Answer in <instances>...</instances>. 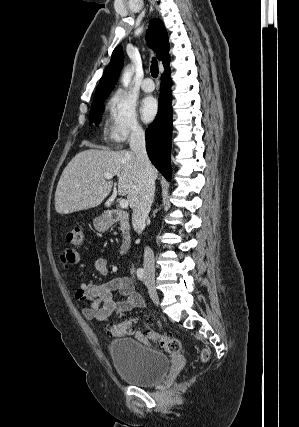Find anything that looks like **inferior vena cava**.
<instances>
[{"label": "inferior vena cava", "instance_id": "1", "mask_svg": "<svg viewBox=\"0 0 299 427\" xmlns=\"http://www.w3.org/2000/svg\"><path fill=\"white\" fill-rule=\"evenodd\" d=\"M129 144L130 149L136 155L139 175V192L133 207L132 225L134 230L138 234H141L145 228V221L153 202L155 178L153 168L146 151L145 134L141 127H133ZM143 266L146 275H154V253L150 247H146L144 250Z\"/></svg>", "mask_w": 299, "mask_h": 427}]
</instances>
